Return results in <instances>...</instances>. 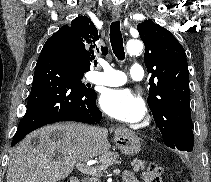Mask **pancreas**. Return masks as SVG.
Wrapping results in <instances>:
<instances>
[{
	"label": "pancreas",
	"mask_w": 211,
	"mask_h": 182,
	"mask_svg": "<svg viewBox=\"0 0 211 182\" xmlns=\"http://www.w3.org/2000/svg\"><path fill=\"white\" fill-rule=\"evenodd\" d=\"M120 158L118 153L107 152L100 157L101 165L94 168L95 172L91 174V177L87 178L85 182H101L100 178L102 177V171L107 169L111 165L119 164ZM133 166V171L138 172L139 169L145 168V162L134 159L131 163Z\"/></svg>",
	"instance_id": "cf45deb5"
}]
</instances>
